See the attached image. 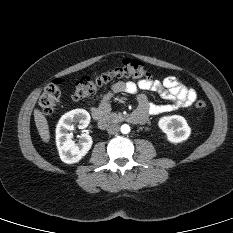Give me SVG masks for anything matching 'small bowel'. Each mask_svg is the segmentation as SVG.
Returning <instances> with one entry per match:
<instances>
[{"mask_svg": "<svg viewBox=\"0 0 233 233\" xmlns=\"http://www.w3.org/2000/svg\"><path fill=\"white\" fill-rule=\"evenodd\" d=\"M146 91L158 93L168 103L154 104L149 102L144 93ZM116 93L134 95L138 102V111L146 116L187 108L197 99L196 91L181 83L174 76H168L163 80L118 81L112 84L108 91L99 96L95 105L90 106L89 109L94 118H98L100 115L107 114L110 111V100L113 94Z\"/></svg>", "mask_w": 233, "mask_h": 233, "instance_id": "c3829d8e", "label": "small bowel"}]
</instances>
